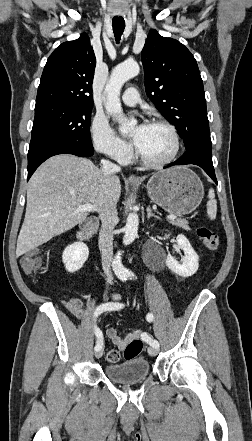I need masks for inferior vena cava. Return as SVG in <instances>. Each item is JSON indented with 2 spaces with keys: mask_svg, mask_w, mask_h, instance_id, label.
I'll return each instance as SVG.
<instances>
[{
  "mask_svg": "<svg viewBox=\"0 0 252 441\" xmlns=\"http://www.w3.org/2000/svg\"><path fill=\"white\" fill-rule=\"evenodd\" d=\"M102 171L108 177L121 171V168L109 160L102 159ZM116 203L109 201L99 215L102 225L99 233V246L102 255V267L108 282L113 281L111 273V262L113 260V234L116 223Z\"/></svg>",
  "mask_w": 252,
  "mask_h": 441,
  "instance_id": "1",
  "label": "inferior vena cava"
}]
</instances>
